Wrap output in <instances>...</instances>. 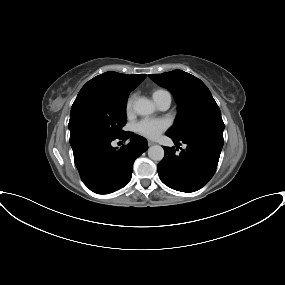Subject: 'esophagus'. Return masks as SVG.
I'll return each instance as SVG.
<instances>
[{
  "mask_svg": "<svg viewBox=\"0 0 285 285\" xmlns=\"http://www.w3.org/2000/svg\"><path fill=\"white\" fill-rule=\"evenodd\" d=\"M154 144H155L154 141L148 140V145H149V146H152V145H154Z\"/></svg>",
  "mask_w": 285,
  "mask_h": 285,
  "instance_id": "obj_1",
  "label": "esophagus"
}]
</instances>
